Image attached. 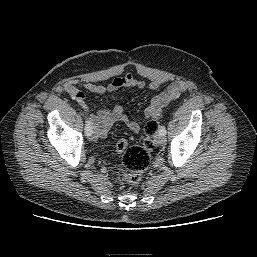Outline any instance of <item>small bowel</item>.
Segmentation results:
<instances>
[{
	"label": "small bowel",
	"mask_w": 257,
	"mask_h": 257,
	"mask_svg": "<svg viewBox=\"0 0 257 257\" xmlns=\"http://www.w3.org/2000/svg\"><path fill=\"white\" fill-rule=\"evenodd\" d=\"M163 78H156L149 84L150 88L156 90L164 84ZM80 87L87 90L90 93L97 95H104L111 92H116L125 88L143 89L145 82L137 79L131 74L127 73L120 77L115 78L108 85H101L86 80L70 81L65 84V91L70 97L75 100L85 112L89 114L90 121L94 126V131L97 137H104L108 134L110 129L116 123L125 124L132 132H139V124L129 118L124 112L121 105L116 104L112 108H106L98 111L96 114H92L85 101V94L80 90ZM187 85L184 81L176 80L172 82L165 91L155 95L151 102L144 110V116L146 118H159L163 109L179 98V96L186 90Z\"/></svg>",
	"instance_id": "1"
}]
</instances>
